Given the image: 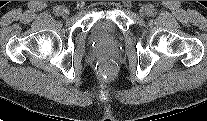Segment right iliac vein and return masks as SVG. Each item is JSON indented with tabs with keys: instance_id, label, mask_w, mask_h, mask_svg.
Segmentation results:
<instances>
[{
	"instance_id": "63e3f726",
	"label": "right iliac vein",
	"mask_w": 207,
	"mask_h": 121,
	"mask_svg": "<svg viewBox=\"0 0 207 121\" xmlns=\"http://www.w3.org/2000/svg\"><path fill=\"white\" fill-rule=\"evenodd\" d=\"M60 15L63 18H67L69 16V10L65 7L61 8Z\"/></svg>"
}]
</instances>
